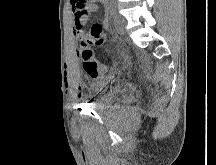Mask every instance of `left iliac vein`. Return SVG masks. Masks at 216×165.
I'll list each match as a JSON object with an SVG mask.
<instances>
[{
    "label": "left iliac vein",
    "mask_w": 216,
    "mask_h": 165,
    "mask_svg": "<svg viewBox=\"0 0 216 165\" xmlns=\"http://www.w3.org/2000/svg\"><path fill=\"white\" fill-rule=\"evenodd\" d=\"M114 26H115L116 31L119 34H121V35L125 34V31H126V21H125V19L121 15L116 14V16L114 18Z\"/></svg>",
    "instance_id": "4c4485c4"
}]
</instances>
